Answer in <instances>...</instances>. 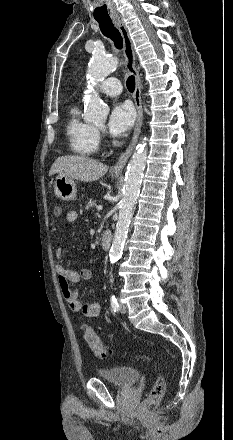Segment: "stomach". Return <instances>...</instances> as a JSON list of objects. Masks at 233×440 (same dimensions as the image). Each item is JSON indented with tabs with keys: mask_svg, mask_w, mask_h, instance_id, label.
Instances as JSON below:
<instances>
[{
	"mask_svg": "<svg viewBox=\"0 0 233 440\" xmlns=\"http://www.w3.org/2000/svg\"><path fill=\"white\" fill-rule=\"evenodd\" d=\"M114 176L118 177L117 174ZM53 186L55 195L59 199L63 201H71L75 199L77 188L74 179L67 176L58 175L54 180Z\"/></svg>",
	"mask_w": 233,
	"mask_h": 440,
	"instance_id": "0dacf381",
	"label": "stomach"
}]
</instances>
